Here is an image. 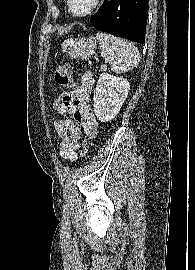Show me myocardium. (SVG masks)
Segmentation results:
<instances>
[{
	"label": "myocardium",
	"instance_id": "obj_1",
	"mask_svg": "<svg viewBox=\"0 0 195 270\" xmlns=\"http://www.w3.org/2000/svg\"><path fill=\"white\" fill-rule=\"evenodd\" d=\"M101 2H102V0H95L93 5L91 6V8L82 14H77V13H74L72 11L71 6H70V0H66V7H67V10L71 16H73L75 18H85V17L93 14L99 8Z\"/></svg>",
	"mask_w": 195,
	"mask_h": 270
}]
</instances>
